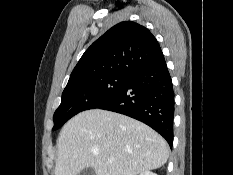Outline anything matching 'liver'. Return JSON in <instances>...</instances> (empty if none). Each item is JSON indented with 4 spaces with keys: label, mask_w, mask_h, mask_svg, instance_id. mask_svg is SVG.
<instances>
[{
    "label": "liver",
    "mask_w": 233,
    "mask_h": 175,
    "mask_svg": "<svg viewBox=\"0 0 233 175\" xmlns=\"http://www.w3.org/2000/svg\"><path fill=\"white\" fill-rule=\"evenodd\" d=\"M168 157L167 142L146 124L116 112L91 109L63 126L54 172L77 175L92 167L96 175H138L162 167Z\"/></svg>",
    "instance_id": "1"
}]
</instances>
